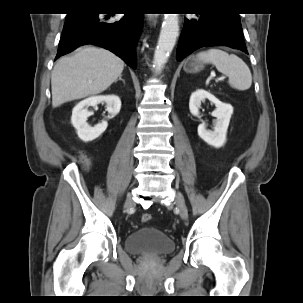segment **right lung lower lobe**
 Here are the masks:
<instances>
[{
	"instance_id": "right-lung-lower-lobe-1",
	"label": "right lung lower lobe",
	"mask_w": 303,
	"mask_h": 303,
	"mask_svg": "<svg viewBox=\"0 0 303 303\" xmlns=\"http://www.w3.org/2000/svg\"><path fill=\"white\" fill-rule=\"evenodd\" d=\"M115 14H99L85 7L67 15L56 59L84 44L106 48L130 67L136 68L135 41L142 28L143 14L127 13L120 19Z\"/></svg>"
}]
</instances>
